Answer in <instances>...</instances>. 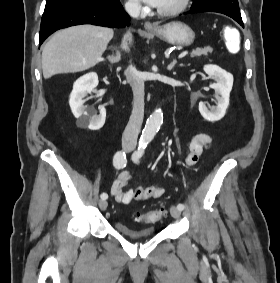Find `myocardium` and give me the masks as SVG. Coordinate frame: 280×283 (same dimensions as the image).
<instances>
[{
  "mask_svg": "<svg viewBox=\"0 0 280 283\" xmlns=\"http://www.w3.org/2000/svg\"><path fill=\"white\" fill-rule=\"evenodd\" d=\"M190 1L191 0H180L176 6L169 8V9H159V8H157V13L159 15L165 16V17L180 14L187 9V7L190 4Z\"/></svg>",
  "mask_w": 280,
  "mask_h": 283,
  "instance_id": "myocardium-1",
  "label": "myocardium"
}]
</instances>
